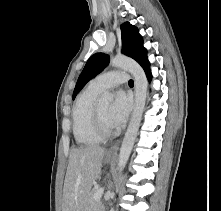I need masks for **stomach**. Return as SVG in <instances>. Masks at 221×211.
Wrapping results in <instances>:
<instances>
[{
  "instance_id": "stomach-1",
  "label": "stomach",
  "mask_w": 221,
  "mask_h": 211,
  "mask_svg": "<svg viewBox=\"0 0 221 211\" xmlns=\"http://www.w3.org/2000/svg\"><path fill=\"white\" fill-rule=\"evenodd\" d=\"M112 160H113V157H112V156L106 155L105 161H106L107 163L111 162Z\"/></svg>"
}]
</instances>
